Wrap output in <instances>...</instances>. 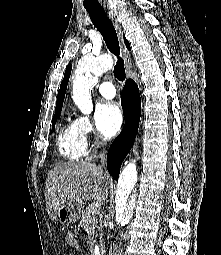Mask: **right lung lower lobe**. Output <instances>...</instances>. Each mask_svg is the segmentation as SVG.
Listing matches in <instances>:
<instances>
[{"label": "right lung lower lobe", "mask_w": 221, "mask_h": 255, "mask_svg": "<svg viewBox=\"0 0 221 255\" xmlns=\"http://www.w3.org/2000/svg\"><path fill=\"white\" fill-rule=\"evenodd\" d=\"M121 104L125 125L123 131L111 144L107 154V168L115 180L118 179L121 164L134 143L141 115V98L138 86L132 79H128L125 83Z\"/></svg>", "instance_id": "right-lung-lower-lobe-1"}]
</instances>
